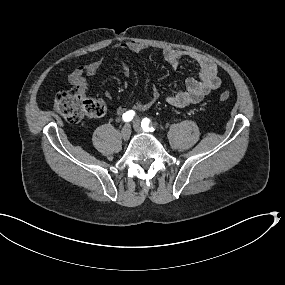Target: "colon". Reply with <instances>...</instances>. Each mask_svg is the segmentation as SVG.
Instances as JSON below:
<instances>
[{
    "label": "colon",
    "instance_id": "obj_1",
    "mask_svg": "<svg viewBox=\"0 0 285 285\" xmlns=\"http://www.w3.org/2000/svg\"><path fill=\"white\" fill-rule=\"evenodd\" d=\"M230 98L228 91L219 94V100L224 102ZM55 111L69 123H77L84 118H98L106 111L105 104L88 97L85 92L75 88L60 92L54 101Z\"/></svg>",
    "mask_w": 285,
    "mask_h": 285
}]
</instances>
